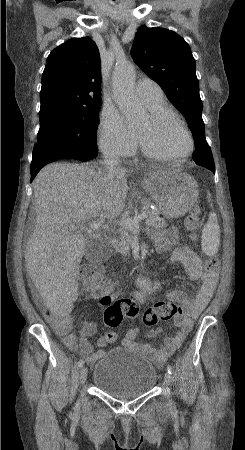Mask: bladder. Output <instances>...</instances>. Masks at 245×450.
Segmentation results:
<instances>
[{"instance_id": "1", "label": "bladder", "mask_w": 245, "mask_h": 450, "mask_svg": "<svg viewBox=\"0 0 245 450\" xmlns=\"http://www.w3.org/2000/svg\"><path fill=\"white\" fill-rule=\"evenodd\" d=\"M158 371L141 353L127 347H115L93 367V386L109 396L128 399L150 391Z\"/></svg>"}]
</instances>
